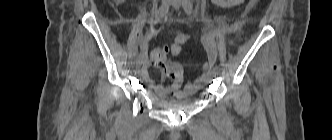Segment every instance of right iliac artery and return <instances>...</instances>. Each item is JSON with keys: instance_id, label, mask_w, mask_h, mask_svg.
<instances>
[{"instance_id": "obj_1", "label": "right iliac artery", "mask_w": 332, "mask_h": 140, "mask_svg": "<svg viewBox=\"0 0 332 140\" xmlns=\"http://www.w3.org/2000/svg\"><path fill=\"white\" fill-rule=\"evenodd\" d=\"M168 10H169V3L162 4L159 7L158 11L156 12L155 22L160 21L167 14ZM139 55H141L143 57H145V55H146V50H145L144 44L141 46V50H140Z\"/></svg>"}]
</instances>
